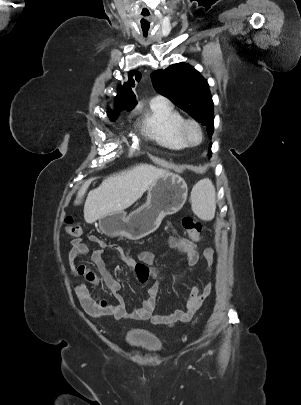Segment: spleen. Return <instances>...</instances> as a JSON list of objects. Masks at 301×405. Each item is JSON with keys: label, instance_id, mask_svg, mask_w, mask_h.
<instances>
[{"label": "spleen", "instance_id": "spleen-1", "mask_svg": "<svg viewBox=\"0 0 301 405\" xmlns=\"http://www.w3.org/2000/svg\"><path fill=\"white\" fill-rule=\"evenodd\" d=\"M215 197L212 182L209 179L199 181L191 192L193 212L202 220H212L216 209Z\"/></svg>", "mask_w": 301, "mask_h": 405}]
</instances>
